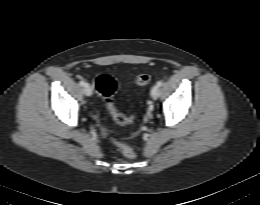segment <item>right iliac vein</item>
<instances>
[{
    "mask_svg": "<svg viewBox=\"0 0 260 205\" xmlns=\"http://www.w3.org/2000/svg\"><path fill=\"white\" fill-rule=\"evenodd\" d=\"M84 93L86 96L92 95V87L88 83L84 86Z\"/></svg>",
    "mask_w": 260,
    "mask_h": 205,
    "instance_id": "right-iliac-vein-1",
    "label": "right iliac vein"
}]
</instances>
